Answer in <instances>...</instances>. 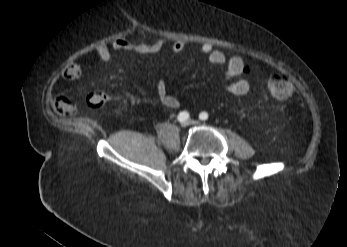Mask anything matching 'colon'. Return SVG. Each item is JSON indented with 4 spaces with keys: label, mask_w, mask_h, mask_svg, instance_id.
<instances>
[{
    "label": "colon",
    "mask_w": 347,
    "mask_h": 247,
    "mask_svg": "<svg viewBox=\"0 0 347 247\" xmlns=\"http://www.w3.org/2000/svg\"><path fill=\"white\" fill-rule=\"evenodd\" d=\"M268 90L273 97L278 99H286L292 94L293 87L287 76L278 73L269 79ZM107 100V95L101 91L91 92L87 97L89 105L93 108H100L104 106Z\"/></svg>",
    "instance_id": "5ec220e1"
}]
</instances>
